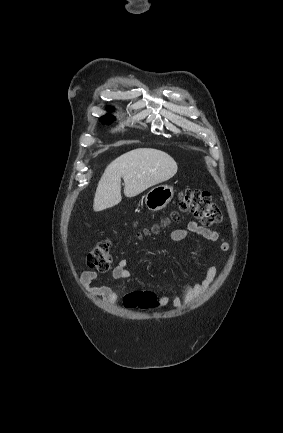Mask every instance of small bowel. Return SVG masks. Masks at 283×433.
<instances>
[{
    "label": "small bowel",
    "instance_id": "c3829d8e",
    "mask_svg": "<svg viewBox=\"0 0 283 433\" xmlns=\"http://www.w3.org/2000/svg\"><path fill=\"white\" fill-rule=\"evenodd\" d=\"M190 234H196L210 242L218 243L219 249L223 252H226L229 249L228 243L224 240L220 232L206 228L194 221H189L184 228L173 230L170 233V239L173 242H180L185 240ZM127 266V259H121L112 270L111 277L115 280L130 278L132 274L127 269ZM216 275L217 268L215 266H209L205 271L203 279L187 286L182 296L177 294L173 297L164 295L158 299V302L160 305H166L171 302L174 308L181 309L185 303H190L201 295L213 282ZM97 278L98 274L95 271L88 270L83 272L81 281L87 292L92 296L100 297L107 303H116L118 300V293L116 290L107 285H93V282Z\"/></svg>",
    "mask_w": 283,
    "mask_h": 433
}]
</instances>
